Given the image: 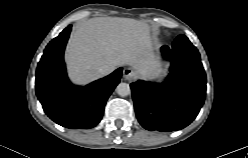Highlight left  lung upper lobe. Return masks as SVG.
I'll list each match as a JSON object with an SVG mask.
<instances>
[{"label": "left lung upper lobe", "mask_w": 248, "mask_h": 158, "mask_svg": "<svg viewBox=\"0 0 248 158\" xmlns=\"http://www.w3.org/2000/svg\"><path fill=\"white\" fill-rule=\"evenodd\" d=\"M175 41L189 42L188 38L184 35H179Z\"/></svg>", "instance_id": "left-lung-upper-lobe-1"}]
</instances>
